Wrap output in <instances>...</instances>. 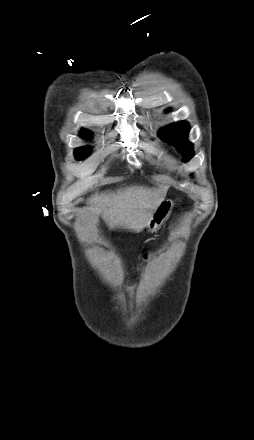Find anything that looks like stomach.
Masks as SVG:
<instances>
[{
  "instance_id": "stomach-1",
  "label": "stomach",
  "mask_w": 254,
  "mask_h": 440,
  "mask_svg": "<svg viewBox=\"0 0 254 440\" xmlns=\"http://www.w3.org/2000/svg\"><path fill=\"white\" fill-rule=\"evenodd\" d=\"M174 203L171 199H163L159 206L152 214L151 220L147 228L152 232H156L161 228V225L169 217L172 212Z\"/></svg>"
}]
</instances>
